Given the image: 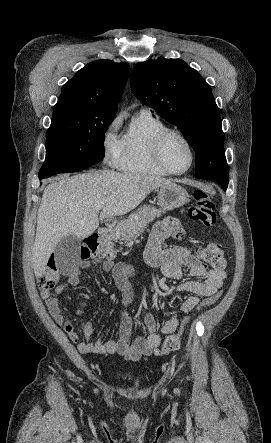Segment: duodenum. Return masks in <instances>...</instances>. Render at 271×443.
Returning <instances> with one entry per match:
<instances>
[{"mask_svg": "<svg viewBox=\"0 0 271 443\" xmlns=\"http://www.w3.org/2000/svg\"><path fill=\"white\" fill-rule=\"evenodd\" d=\"M98 236L103 240H110L114 237V233L111 229L102 228L99 230Z\"/></svg>", "mask_w": 271, "mask_h": 443, "instance_id": "410a0bca", "label": "duodenum"}]
</instances>
